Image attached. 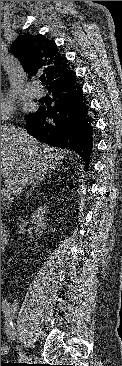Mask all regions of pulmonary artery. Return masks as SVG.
<instances>
[{"label": "pulmonary artery", "instance_id": "1", "mask_svg": "<svg viewBox=\"0 0 122 366\" xmlns=\"http://www.w3.org/2000/svg\"><path fill=\"white\" fill-rule=\"evenodd\" d=\"M28 92L36 97V98H40L43 96V89L38 85V84H35V83H32L28 86Z\"/></svg>", "mask_w": 122, "mask_h": 366}]
</instances>
